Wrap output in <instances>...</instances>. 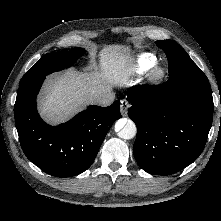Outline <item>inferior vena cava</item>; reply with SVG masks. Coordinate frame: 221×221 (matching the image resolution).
Wrapping results in <instances>:
<instances>
[{
    "instance_id": "602c4592",
    "label": "inferior vena cava",
    "mask_w": 221,
    "mask_h": 221,
    "mask_svg": "<svg viewBox=\"0 0 221 221\" xmlns=\"http://www.w3.org/2000/svg\"><path fill=\"white\" fill-rule=\"evenodd\" d=\"M115 94L112 92L106 93L104 95L98 96L94 99V103L99 106H109L113 103Z\"/></svg>"
}]
</instances>
